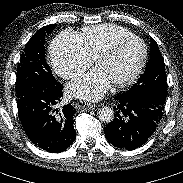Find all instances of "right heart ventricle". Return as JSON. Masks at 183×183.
<instances>
[{"label": "right heart ventricle", "mask_w": 183, "mask_h": 183, "mask_svg": "<svg viewBox=\"0 0 183 183\" xmlns=\"http://www.w3.org/2000/svg\"><path fill=\"white\" fill-rule=\"evenodd\" d=\"M133 35L129 30L113 24L87 27L79 34L86 53L92 59L115 40Z\"/></svg>", "instance_id": "right-heart-ventricle-1"}]
</instances>
